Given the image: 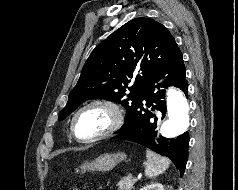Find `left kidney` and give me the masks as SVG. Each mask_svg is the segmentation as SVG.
<instances>
[{"label": "left kidney", "instance_id": "obj_1", "mask_svg": "<svg viewBox=\"0 0 238 190\" xmlns=\"http://www.w3.org/2000/svg\"><path fill=\"white\" fill-rule=\"evenodd\" d=\"M140 190H164V186L160 183H152L150 185H146Z\"/></svg>", "mask_w": 238, "mask_h": 190}]
</instances>
